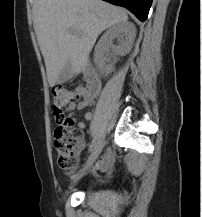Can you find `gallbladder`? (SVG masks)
Returning a JSON list of instances; mask_svg holds the SVG:
<instances>
[{
  "label": "gallbladder",
  "mask_w": 202,
  "mask_h": 217,
  "mask_svg": "<svg viewBox=\"0 0 202 217\" xmlns=\"http://www.w3.org/2000/svg\"><path fill=\"white\" fill-rule=\"evenodd\" d=\"M73 75V68L70 62H68L63 70L61 71L59 77H58V84H63L67 82Z\"/></svg>",
  "instance_id": "bac80fb5"
}]
</instances>
